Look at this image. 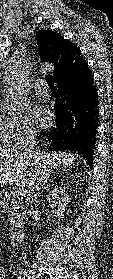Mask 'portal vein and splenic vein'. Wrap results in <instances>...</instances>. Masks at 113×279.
<instances>
[{
	"label": "portal vein and splenic vein",
	"mask_w": 113,
	"mask_h": 279,
	"mask_svg": "<svg viewBox=\"0 0 113 279\" xmlns=\"http://www.w3.org/2000/svg\"><path fill=\"white\" fill-rule=\"evenodd\" d=\"M23 189H24V188L21 187V188H18V189L16 190V193H17L18 196H20V197H23V196H24V190H23Z\"/></svg>",
	"instance_id": "portal-vein-and-splenic-vein-1"
}]
</instances>
